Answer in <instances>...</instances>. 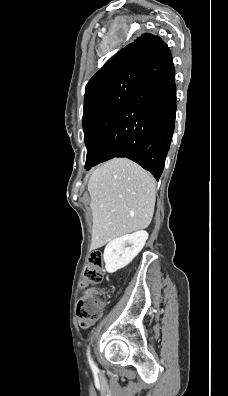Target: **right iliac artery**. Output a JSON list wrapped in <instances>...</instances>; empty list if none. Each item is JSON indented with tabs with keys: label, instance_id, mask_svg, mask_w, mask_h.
<instances>
[{
	"label": "right iliac artery",
	"instance_id": "1",
	"mask_svg": "<svg viewBox=\"0 0 228 396\" xmlns=\"http://www.w3.org/2000/svg\"><path fill=\"white\" fill-rule=\"evenodd\" d=\"M87 355H88L89 364H90L92 370L93 371L97 370V367L95 366L94 362L91 359L89 348H88V351H87Z\"/></svg>",
	"mask_w": 228,
	"mask_h": 396
}]
</instances>
